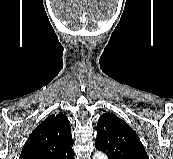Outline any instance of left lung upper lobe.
<instances>
[{"label": "left lung upper lobe", "instance_id": "left-lung-upper-lobe-1", "mask_svg": "<svg viewBox=\"0 0 173 159\" xmlns=\"http://www.w3.org/2000/svg\"><path fill=\"white\" fill-rule=\"evenodd\" d=\"M95 147L105 152L109 159H148L137 134L109 112L99 118Z\"/></svg>", "mask_w": 173, "mask_h": 159}]
</instances>
